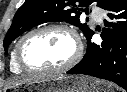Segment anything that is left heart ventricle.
<instances>
[{
    "label": "left heart ventricle",
    "instance_id": "b2bd125f",
    "mask_svg": "<svg viewBox=\"0 0 127 92\" xmlns=\"http://www.w3.org/2000/svg\"><path fill=\"white\" fill-rule=\"evenodd\" d=\"M75 51L73 38L65 31L48 30L31 37L23 48L26 64L34 69L57 68Z\"/></svg>",
    "mask_w": 127,
    "mask_h": 92
}]
</instances>
